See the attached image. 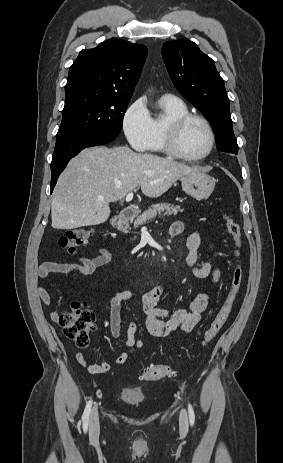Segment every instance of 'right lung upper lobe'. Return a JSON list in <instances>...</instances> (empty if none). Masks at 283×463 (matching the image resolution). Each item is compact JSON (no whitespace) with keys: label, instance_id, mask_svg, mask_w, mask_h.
<instances>
[{"label":"right lung upper lobe","instance_id":"obj_1","mask_svg":"<svg viewBox=\"0 0 283 463\" xmlns=\"http://www.w3.org/2000/svg\"><path fill=\"white\" fill-rule=\"evenodd\" d=\"M147 53L144 45L116 38L81 50L69 69L66 96L87 91L131 98Z\"/></svg>","mask_w":283,"mask_h":463}]
</instances>
